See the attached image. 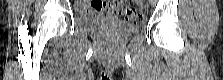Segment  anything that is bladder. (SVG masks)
I'll list each match as a JSON object with an SVG mask.
<instances>
[{
	"label": "bladder",
	"mask_w": 223,
	"mask_h": 80,
	"mask_svg": "<svg viewBox=\"0 0 223 80\" xmlns=\"http://www.w3.org/2000/svg\"><path fill=\"white\" fill-rule=\"evenodd\" d=\"M80 27L91 32H113L119 36H129L138 32V26L129 24L121 19L115 18L113 15H80L77 18Z\"/></svg>",
	"instance_id": "obj_1"
}]
</instances>
